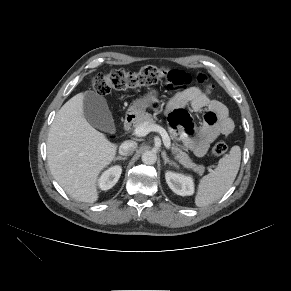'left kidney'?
I'll return each instance as SVG.
<instances>
[{"label": "left kidney", "mask_w": 291, "mask_h": 291, "mask_svg": "<svg viewBox=\"0 0 291 291\" xmlns=\"http://www.w3.org/2000/svg\"><path fill=\"white\" fill-rule=\"evenodd\" d=\"M165 179L169 188L181 196H190L194 193V182L191 176H186L172 171L165 173Z\"/></svg>", "instance_id": "left-kidney-1"}]
</instances>
